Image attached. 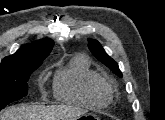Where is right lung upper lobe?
Masks as SVG:
<instances>
[{
  "label": "right lung upper lobe",
  "mask_w": 165,
  "mask_h": 120,
  "mask_svg": "<svg viewBox=\"0 0 165 120\" xmlns=\"http://www.w3.org/2000/svg\"><path fill=\"white\" fill-rule=\"evenodd\" d=\"M53 45L54 42L48 38L23 45L15 54L5 57L1 64L42 61L50 54Z\"/></svg>",
  "instance_id": "right-lung-upper-lobe-1"
}]
</instances>
